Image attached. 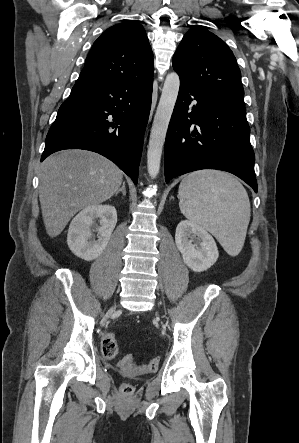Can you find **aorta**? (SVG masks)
<instances>
[{
    "mask_svg": "<svg viewBox=\"0 0 299 443\" xmlns=\"http://www.w3.org/2000/svg\"><path fill=\"white\" fill-rule=\"evenodd\" d=\"M179 87L180 79L178 74L175 72L168 74L154 116L148 144L147 169L149 176L153 179L157 177L160 170L162 150Z\"/></svg>",
    "mask_w": 299,
    "mask_h": 443,
    "instance_id": "aorta-1",
    "label": "aorta"
}]
</instances>
